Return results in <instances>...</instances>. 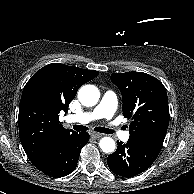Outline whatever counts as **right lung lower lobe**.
I'll return each instance as SVG.
<instances>
[{
	"instance_id": "right-lung-lower-lobe-1",
	"label": "right lung lower lobe",
	"mask_w": 194,
	"mask_h": 194,
	"mask_svg": "<svg viewBox=\"0 0 194 194\" xmlns=\"http://www.w3.org/2000/svg\"><path fill=\"white\" fill-rule=\"evenodd\" d=\"M88 140L87 132H73L52 142L30 161L46 175L57 178L66 176L76 168L80 151Z\"/></svg>"
}]
</instances>
